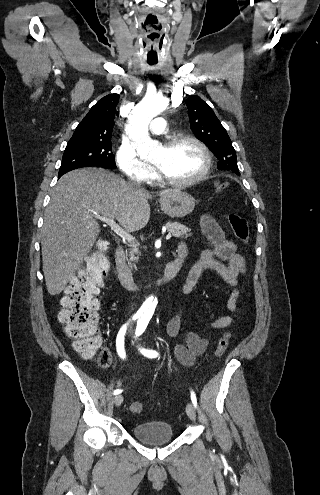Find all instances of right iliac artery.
<instances>
[{"mask_svg": "<svg viewBox=\"0 0 320 495\" xmlns=\"http://www.w3.org/2000/svg\"><path fill=\"white\" fill-rule=\"evenodd\" d=\"M137 315L133 316V320L137 319ZM128 323L124 324L121 329L118 332L117 339H116V348H117V353L118 355L124 359L126 357L125 353V348H124V339H125V333L127 329ZM122 392L121 389H116L114 390V395L120 394Z\"/></svg>", "mask_w": 320, "mask_h": 495, "instance_id": "obj_1", "label": "right iliac artery"}]
</instances>
